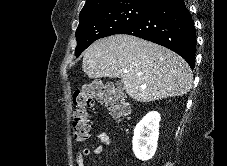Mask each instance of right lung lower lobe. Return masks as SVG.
<instances>
[{"label": "right lung lower lobe", "mask_w": 227, "mask_h": 166, "mask_svg": "<svg viewBox=\"0 0 227 166\" xmlns=\"http://www.w3.org/2000/svg\"><path fill=\"white\" fill-rule=\"evenodd\" d=\"M118 34L133 35L167 47L194 69L196 31L184 0H160L147 14Z\"/></svg>", "instance_id": "right-lung-lower-lobe-1"}]
</instances>
